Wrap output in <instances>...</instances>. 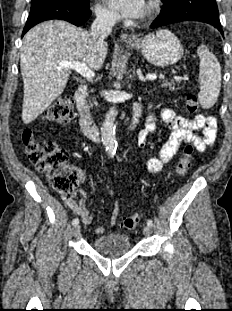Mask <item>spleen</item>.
I'll return each mask as SVG.
<instances>
[{
	"label": "spleen",
	"mask_w": 232,
	"mask_h": 311,
	"mask_svg": "<svg viewBox=\"0 0 232 311\" xmlns=\"http://www.w3.org/2000/svg\"><path fill=\"white\" fill-rule=\"evenodd\" d=\"M200 58L199 83L201 85L198 99L203 108L212 107L219 96L221 88V67L216 56L205 45L197 48Z\"/></svg>",
	"instance_id": "3e777b00"
}]
</instances>
